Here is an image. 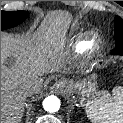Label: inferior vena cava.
I'll return each mask as SVG.
<instances>
[{
  "instance_id": "obj_1",
  "label": "inferior vena cava",
  "mask_w": 123,
  "mask_h": 123,
  "mask_svg": "<svg viewBox=\"0 0 123 123\" xmlns=\"http://www.w3.org/2000/svg\"><path fill=\"white\" fill-rule=\"evenodd\" d=\"M23 92L27 95V96H31L35 93H37L38 89H39V84L37 81H26L23 84Z\"/></svg>"
}]
</instances>
